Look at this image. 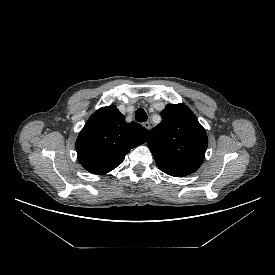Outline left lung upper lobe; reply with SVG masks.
Segmentation results:
<instances>
[{"mask_svg": "<svg viewBox=\"0 0 275 275\" xmlns=\"http://www.w3.org/2000/svg\"><path fill=\"white\" fill-rule=\"evenodd\" d=\"M162 121L152 130L148 146L164 173L183 177L202 164L208 146L205 129L184 104H168Z\"/></svg>", "mask_w": 275, "mask_h": 275, "instance_id": "left-lung-upper-lobe-1", "label": "left lung upper lobe"}]
</instances>
